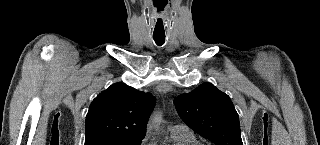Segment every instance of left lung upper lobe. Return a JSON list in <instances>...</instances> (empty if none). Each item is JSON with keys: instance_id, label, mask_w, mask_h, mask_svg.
Listing matches in <instances>:
<instances>
[{"instance_id": "1", "label": "left lung upper lobe", "mask_w": 320, "mask_h": 145, "mask_svg": "<svg viewBox=\"0 0 320 145\" xmlns=\"http://www.w3.org/2000/svg\"><path fill=\"white\" fill-rule=\"evenodd\" d=\"M174 104L181 119L215 145H243L233 103L211 83L177 96Z\"/></svg>"}]
</instances>
